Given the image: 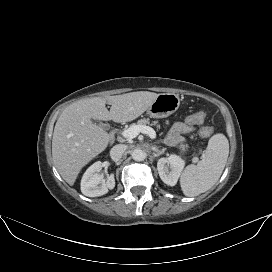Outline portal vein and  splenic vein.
<instances>
[{
  "mask_svg": "<svg viewBox=\"0 0 272 272\" xmlns=\"http://www.w3.org/2000/svg\"><path fill=\"white\" fill-rule=\"evenodd\" d=\"M139 133L147 134L151 139L156 138V132L154 129L145 125H133L127 129H124L121 135L124 138L133 139L137 137Z\"/></svg>",
  "mask_w": 272,
  "mask_h": 272,
  "instance_id": "1",
  "label": "portal vein and splenic vein"
}]
</instances>
